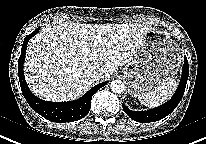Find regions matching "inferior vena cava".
<instances>
[{"label": "inferior vena cava", "mask_w": 206, "mask_h": 144, "mask_svg": "<svg viewBox=\"0 0 206 144\" xmlns=\"http://www.w3.org/2000/svg\"><path fill=\"white\" fill-rule=\"evenodd\" d=\"M87 74L94 82H97L102 78L101 70L96 67L89 68Z\"/></svg>", "instance_id": "obj_1"}]
</instances>
